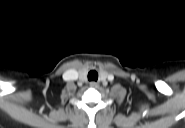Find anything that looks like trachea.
<instances>
[{
	"mask_svg": "<svg viewBox=\"0 0 185 128\" xmlns=\"http://www.w3.org/2000/svg\"><path fill=\"white\" fill-rule=\"evenodd\" d=\"M89 81H97L98 80V72L96 70H91L88 73Z\"/></svg>",
	"mask_w": 185,
	"mask_h": 128,
	"instance_id": "1",
	"label": "trachea"
}]
</instances>
